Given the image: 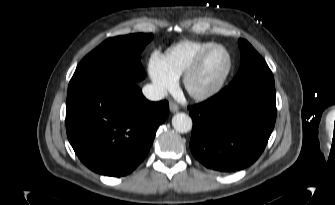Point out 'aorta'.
<instances>
[{
  "mask_svg": "<svg viewBox=\"0 0 335 205\" xmlns=\"http://www.w3.org/2000/svg\"><path fill=\"white\" fill-rule=\"evenodd\" d=\"M192 119L185 113H177L172 118V126L177 132L187 133L192 129Z\"/></svg>",
  "mask_w": 335,
  "mask_h": 205,
  "instance_id": "1",
  "label": "aorta"
}]
</instances>
